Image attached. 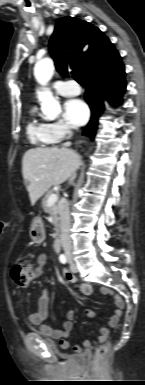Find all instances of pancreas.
Instances as JSON below:
<instances>
[{
    "label": "pancreas",
    "mask_w": 145,
    "mask_h": 385,
    "mask_svg": "<svg viewBox=\"0 0 145 385\" xmlns=\"http://www.w3.org/2000/svg\"><path fill=\"white\" fill-rule=\"evenodd\" d=\"M52 193H53L52 190L47 192V194L44 196V198L42 200V204H43L44 212L48 213L52 216V218L54 220V224H55L56 235H58V232H59V229H58V226H59L58 206L56 203H54L52 206H48V204H47V200Z\"/></svg>",
    "instance_id": "1"
}]
</instances>
